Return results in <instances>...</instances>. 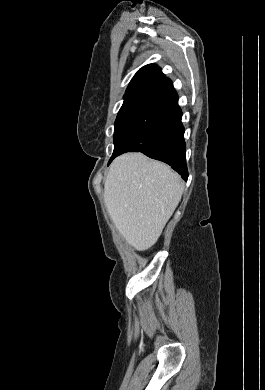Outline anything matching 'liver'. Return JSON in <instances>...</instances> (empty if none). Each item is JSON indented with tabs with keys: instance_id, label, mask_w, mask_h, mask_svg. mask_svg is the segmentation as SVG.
<instances>
[{
	"instance_id": "liver-1",
	"label": "liver",
	"mask_w": 265,
	"mask_h": 390,
	"mask_svg": "<svg viewBox=\"0 0 265 390\" xmlns=\"http://www.w3.org/2000/svg\"><path fill=\"white\" fill-rule=\"evenodd\" d=\"M183 190L180 176L168 165L142 153H126L110 166L104 202L127 244L145 251L157 242Z\"/></svg>"
}]
</instances>
